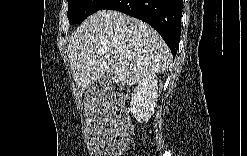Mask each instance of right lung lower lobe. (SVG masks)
Wrapping results in <instances>:
<instances>
[{
  "mask_svg": "<svg viewBox=\"0 0 247 156\" xmlns=\"http://www.w3.org/2000/svg\"><path fill=\"white\" fill-rule=\"evenodd\" d=\"M102 9L117 10L147 22L175 56L180 41L182 0H108Z\"/></svg>",
  "mask_w": 247,
  "mask_h": 156,
  "instance_id": "1",
  "label": "right lung lower lobe"
}]
</instances>
